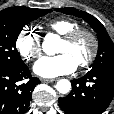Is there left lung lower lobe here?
I'll list each match as a JSON object with an SVG mask.
<instances>
[{
	"mask_svg": "<svg viewBox=\"0 0 114 114\" xmlns=\"http://www.w3.org/2000/svg\"><path fill=\"white\" fill-rule=\"evenodd\" d=\"M71 84L72 91L59 98L60 108L68 114H101L114 97V68L89 71Z\"/></svg>",
	"mask_w": 114,
	"mask_h": 114,
	"instance_id": "0a47b994",
	"label": "left lung lower lobe"
}]
</instances>
